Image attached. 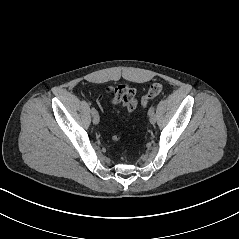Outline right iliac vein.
<instances>
[{
    "label": "right iliac vein",
    "instance_id": "right-iliac-vein-1",
    "mask_svg": "<svg viewBox=\"0 0 239 239\" xmlns=\"http://www.w3.org/2000/svg\"><path fill=\"white\" fill-rule=\"evenodd\" d=\"M92 119H93V123L94 124H98L100 119H99V115L98 113L96 112L95 114H92Z\"/></svg>",
    "mask_w": 239,
    "mask_h": 239
}]
</instances>
